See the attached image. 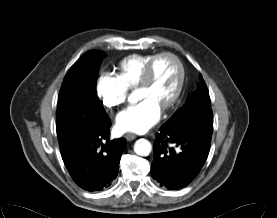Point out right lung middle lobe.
Returning a JSON list of instances; mask_svg holds the SVG:
<instances>
[{
	"label": "right lung middle lobe",
	"mask_w": 277,
	"mask_h": 218,
	"mask_svg": "<svg viewBox=\"0 0 277 218\" xmlns=\"http://www.w3.org/2000/svg\"><path fill=\"white\" fill-rule=\"evenodd\" d=\"M105 53L88 51L67 72L61 85L56 129L61 152L93 133L108 119L96 94V80Z\"/></svg>",
	"instance_id": "obj_1"
}]
</instances>
